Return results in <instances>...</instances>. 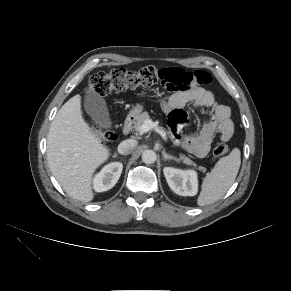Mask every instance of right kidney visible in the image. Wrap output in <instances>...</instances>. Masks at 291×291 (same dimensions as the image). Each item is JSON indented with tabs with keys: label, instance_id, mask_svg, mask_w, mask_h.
<instances>
[{
	"label": "right kidney",
	"instance_id": "ca27d5eb",
	"mask_svg": "<svg viewBox=\"0 0 291 291\" xmlns=\"http://www.w3.org/2000/svg\"><path fill=\"white\" fill-rule=\"evenodd\" d=\"M122 169L123 165L120 162H114L104 166L93 180L95 191L103 192L114 187L120 178Z\"/></svg>",
	"mask_w": 291,
	"mask_h": 291
}]
</instances>
